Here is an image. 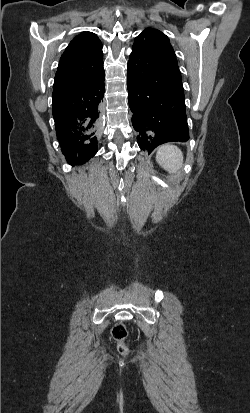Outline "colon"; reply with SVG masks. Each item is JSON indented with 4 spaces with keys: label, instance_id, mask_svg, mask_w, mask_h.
Instances as JSON below:
<instances>
[{
    "label": "colon",
    "instance_id": "colon-1",
    "mask_svg": "<svg viewBox=\"0 0 250 413\" xmlns=\"http://www.w3.org/2000/svg\"><path fill=\"white\" fill-rule=\"evenodd\" d=\"M111 337L116 341L119 353L122 355H128L129 348L125 343L127 338V329L123 323H117L112 327Z\"/></svg>",
    "mask_w": 250,
    "mask_h": 413
}]
</instances>
